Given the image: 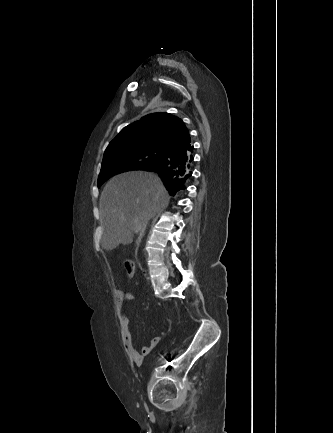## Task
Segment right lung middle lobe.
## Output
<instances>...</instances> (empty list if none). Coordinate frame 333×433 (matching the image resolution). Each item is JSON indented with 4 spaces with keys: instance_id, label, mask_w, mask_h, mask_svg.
I'll return each instance as SVG.
<instances>
[{
    "instance_id": "1",
    "label": "right lung middle lobe",
    "mask_w": 333,
    "mask_h": 433,
    "mask_svg": "<svg viewBox=\"0 0 333 433\" xmlns=\"http://www.w3.org/2000/svg\"><path fill=\"white\" fill-rule=\"evenodd\" d=\"M163 150L156 148H126L105 156L98 177L100 187L110 177L132 169H149L161 162L166 156Z\"/></svg>"
}]
</instances>
